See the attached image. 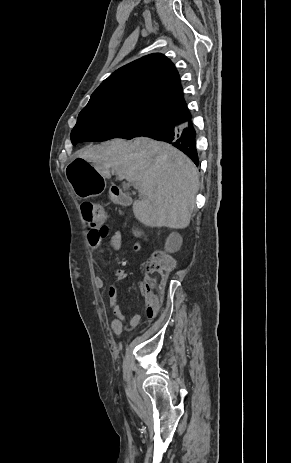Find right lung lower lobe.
Instances as JSON below:
<instances>
[{"label":"right lung lower lobe","instance_id":"1","mask_svg":"<svg viewBox=\"0 0 291 463\" xmlns=\"http://www.w3.org/2000/svg\"><path fill=\"white\" fill-rule=\"evenodd\" d=\"M167 125L143 135L159 141H165L185 153L198 166L199 157L196 149V131L192 121L183 124L178 119H165Z\"/></svg>","mask_w":291,"mask_h":463}]
</instances>
